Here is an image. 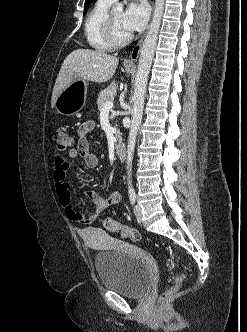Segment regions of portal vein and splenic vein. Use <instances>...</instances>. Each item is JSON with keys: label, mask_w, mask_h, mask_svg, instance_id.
Listing matches in <instances>:
<instances>
[{"label": "portal vein and splenic vein", "mask_w": 247, "mask_h": 332, "mask_svg": "<svg viewBox=\"0 0 247 332\" xmlns=\"http://www.w3.org/2000/svg\"><path fill=\"white\" fill-rule=\"evenodd\" d=\"M113 106H114L113 101H107V102L104 104L102 110H109V109H112Z\"/></svg>", "instance_id": "1"}]
</instances>
